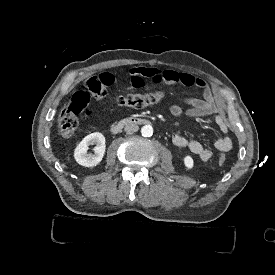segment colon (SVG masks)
<instances>
[{
  "mask_svg": "<svg viewBox=\"0 0 275 275\" xmlns=\"http://www.w3.org/2000/svg\"><path fill=\"white\" fill-rule=\"evenodd\" d=\"M86 85L97 98H104V92L108 91L109 87L105 86L100 77H88ZM162 98V93L159 91L148 93L129 95L118 99L119 105L123 107H147L158 103ZM88 92L85 90H77L65 107L61 110L58 117V131L62 136L73 137L77 134L80 123L91 115V110L88 108ZM216 161L220 165H225L228 158L224 154H218Z\"/></svg>",
  "mask_w": 275,
  "mask_h": 275,
  "instance_id": "1",
  "label": "colon"
}]
</instances>
